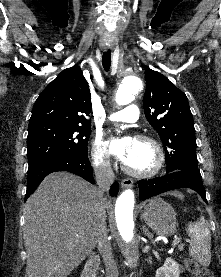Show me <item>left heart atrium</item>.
Here are the masks:
<instances>
[{"mask_svg": "<svg viewBox=\"0 0 221 277\" xmlns=\"http://www.w3.org/2000/svg\"><path fill=\"white\" fill-rule=\"evenodd\" d=\"M134 140L132 138H118L113 139L111 143V150L112 153L119 158L120 160L124 161L133 146Z\"/></svg>", "mask_w": 221, "mask_h": 277, "instance_id": "obj_1", "label": "left heart atrium"}]
</instances>
